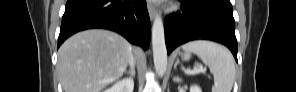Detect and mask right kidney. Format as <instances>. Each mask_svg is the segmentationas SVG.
<instances>
[{"label":"right kidney","mask_w":296,"mask_h":92,"mask_svg":"<svg viewBox=\"0 0 296 92\" xmlns=\"http://www.w3.org/2000/svg\"><path fill=\"white\" fill-rule=\"evenodd\" d=\"M134 82L131 78L122 79L104 92H133Z\"/></svg>","instance_id":"obj_1"}]
</instances>
